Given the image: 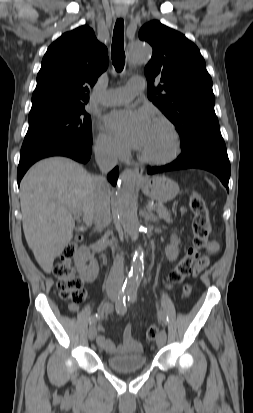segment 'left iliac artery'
Listing matches in <instances>:
<instances>
[{
	"mask_svg": "<svg viewBox=\"0 0 253 413\" xmlns=\"http://www.w3.org/2000/svg\"><path fill=\"white\" fill-rule=\"evenodd\" d=\"M129 302H135L137 298V289H130L127 294ZM160 318L166 323L168 321V317L162 314H159Z\"/></svg>",
	"mask_w": 253,
	"mask_h": 413,
	"instance_id": "1",
	"label": "left iliac artery"
}]
</instances>
